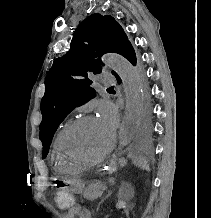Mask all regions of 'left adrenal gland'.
<instances>
[{
  "instance_id": "obj_1",
  "label": "left adrenal gland",
  "mask_w": 211,
  "mask_h": 218,
  "mask_svg": "<svg viewBox=\"0 0 211 218\" xmlns=\"http://www.w3.org/2000/svg\"><path fill=\"white\" fill-rule=\"evenodd\" d=\"M111 194H112L111 190H108V194H107L106 198H109V196H111ZM106 198H104V200H106ZM104 200H102V202H104ZM102 202H100V204H102ZM100 204H98V206H97V212L100 208Z\"/></svg>"
}]
</instances>
